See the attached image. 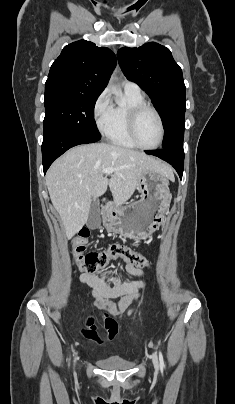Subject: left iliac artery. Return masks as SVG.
I'll return each instance as SVG.
<instances>
[{
	"instance_id": "left-iliac-artery-1",
	"label": "left iliac artery",
	"mask_w": 235,
	"mask_h": 404,
	"mask_svg": "<svg viewBox=\"0 0 235 404\" xmlns=\"http://www.w3.org/2000/svg\"><path fill=\"white\" fill-rule=\"evenodd\" d=\"M159 361H160V367H161V369H163L165 365H164L163 355H162L161 351H159Z\"/></svg>"
}]
</instances>
